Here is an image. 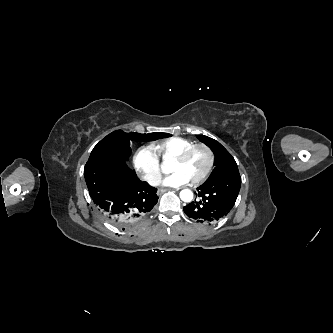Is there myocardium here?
<instances>
[{"label": "myocardium", "mask_w": 333, "mask_h": 333, "mask_svg": "<svg viewBox=\"0 0 333 333\" xmlns=\"http://www.w3.org/2000/svg\"><path fill=\"white\" fill-rule=\"evenodd\" d=\"M196 149H203L207 152L208 157H209V161H208V165L206 170L203 172V174L198 177L197 179L191 181V183L193 185H199L201 183H203L211 174L214 165H215V153L213 151V149L208 146L207 144L204 143H196L193 144L192 146L184 149L181 153H179L174 159L173 162H177V163H183L188 156L190 155V153Z\"/></svg>", "instance_id": "obj_1"}]
</instances>
